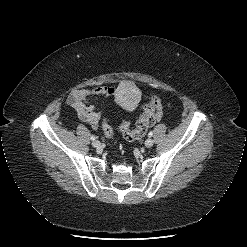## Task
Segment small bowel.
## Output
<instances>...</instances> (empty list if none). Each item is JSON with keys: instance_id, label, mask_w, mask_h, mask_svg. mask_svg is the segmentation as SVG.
<instances>
[{"instance_id": "1", "label": "small bowel", "mask_w": 247, "mask_h": 247, "mask_svg": "<svg viewBox=\"0 0 247 247\" xmlns=\"http://www.w3.org/2000/svg\"><path fill=\"white\" fill-rule=\"evenodd\" d=\"M118 89L114 86H98L96 88H85L75 90L68 96V104L76 111L78 117L97 128L100 120V112L90 102L92 98H109L117 94ZM161 114L159 113V117Z\"/></svg>"}]
</instances>
